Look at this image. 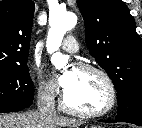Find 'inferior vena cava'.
<instances>
[{
    "mask_svg": "<svg viewBox=\"0 0 142 128\" xmlns=\"http://www.w3.org/2000/svg\"><path fill=\"white\" fill-rule=\"evenodd\" d=\"M37 112L47 118L56 115L54 95L51 92L47 91L38 97Z\"/></svg>",
    "mask_w": 142,
    "mask_h": 128,
    "instance_id": "obj_1",
    "label": "inferior vena cava"
}]
</instances>
